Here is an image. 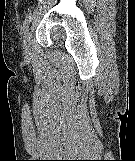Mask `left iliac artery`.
<instances>
[{"label":"left iliac artery","instance_id":"44dca946","mask_svg":"<svg viewBox=\"0 0 135 161\" xmlns=\"http://www.w3.org/2000/svg\"><path fill=\"white\" fill-rule=\"evenodd\" d=\"M32 18H33L32 14L26 16L22 27L23 32L27 31L29 24L32 21Z\"/></svg>","mask_w":135,"mask_h":161}]
</instances>
